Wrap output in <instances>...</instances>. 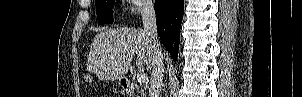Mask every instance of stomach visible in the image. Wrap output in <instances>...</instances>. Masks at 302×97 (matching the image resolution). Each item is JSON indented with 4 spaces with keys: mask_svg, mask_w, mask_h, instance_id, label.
Here are the masks:
<instances>
[{
    "mask_svg": "<svg viewBox=\"0 0 302 97\" xmlns=\"http://www.w3.org/2000/svg\"><path fill=\"white\" fill-rule=\"evenodd\" d=\"M119 83H120L121 85H122V84H125V80L121 78V79L119 80Z\"/></svg>",
    "mask_w": 302,
    "mask_h": 97,
    "instance_id": "stomach-1",
    "label": "stomach"
}]
</instances>
